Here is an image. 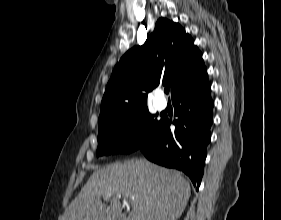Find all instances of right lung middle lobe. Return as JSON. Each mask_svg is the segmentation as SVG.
Wrapping results in <instances>:
<instances>
[{
    "label": "right lung middle lobe",
    "mask_w": 281,
    "mask_h": 220,
    "mask_svg": "<svg viewBox=\"0 0 281 220\" xmlns=\"http://www.w3.org/2000/svg\"><path fill=\"white\" fill-rule=\"evenodd\" d=\"M160 123L147 108L103 122L99 125L97 156L138 150Z\"/></svg>",
    "instance_id": "1"
}]
</instances>
